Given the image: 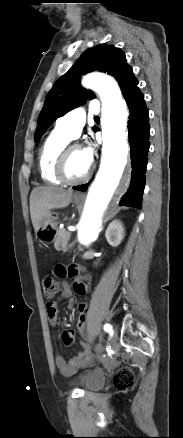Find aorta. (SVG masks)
Here are the masks:
<instances>
[{"label": "aorta", "mask_w": 183, "mask_h": 438, "mask_svg": "<svg viewBox=\"0 0 183 438\" xmlns=\"http://www.w3.org/2000/svg\"><path fill=\"white\" fill-rule=\"evenodd\" d=\"M82 85L93 89L102 102V157L99 171L92 183L81 219L77 238L80 244L93 243L101 230L108 205L117 190L127 164L129 147L126 136L127 106L116 81L107 75L91 73Z\"/></svg>", "instance_id": "762f6f07"}]
</instances>
